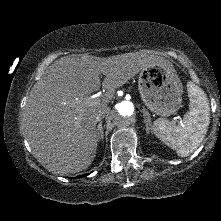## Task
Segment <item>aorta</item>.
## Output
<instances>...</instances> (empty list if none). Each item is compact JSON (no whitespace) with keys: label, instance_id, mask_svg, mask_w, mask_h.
Wrapping results in <instances>:
<instances>
[{"label":"aorta","instance_id":"762f6f07","mask_svg":"<svg viewBox=\"0 0 221 221\" xmlns=\"http://www.w3.org/2000/svg\"><path fill=\"white\" fill-rule=\"evenodd\" d=\"M115 125L119 128L129 127L135 120L136 109L131 101H120L115 104L112 111Z\"/></svg>","mask_w":221,"mask_h":221}]
</instances>
